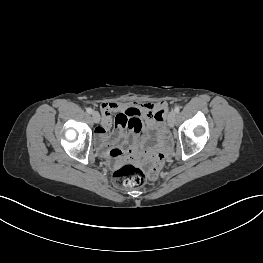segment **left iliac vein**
I'll return each mask as SVG.
<instances>
[{
  "label": "left iliac vein",
  "mask_w": 263,
  "mask_h": 263,
  "mask_svg": "<svg viewBox=\"0 0 263 263\" xmlns=\"http://www.w3.org/2000/svg\"><path fill=\"white\" fill-rule=\"evenodd\" d=\"M175 121H176V112L172 110L170 111L168 118H167L168 125L170 127H173L175 124Z\"/></svg>",
  "instance_id": "left-iliac-vein-1"
}]
</instances>
